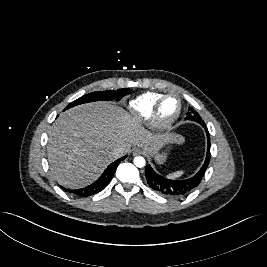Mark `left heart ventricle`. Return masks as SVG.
I'll list each match as a JSON object with an SVG mask.
<instances>
[{"label": "left heart ventricle", "instance_id": "left-heart-ventricle-1", "mask_svg": "<svg viewBox=\"0 0 267 267\" xmlns=\"http://www.w3.org/2000/svg\"><path fill=\"white\" fill-rule=\"evenodd\" d=\"M178 101L175 98L167 99L161 106L159 116L163 121H168L177 113Z\"/></svg>", "mask_w": 267, "mask_h": 267}]
</instances>
